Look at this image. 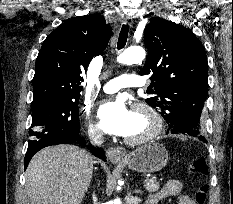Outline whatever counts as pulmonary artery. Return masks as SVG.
Here are the masks:
<instances>
[{"label": "pulmonary artery", "instance_id": "obj_1", "mask_svg": "<svg viewBox=\"0 0 233 204\" xmlns=\"http://www.w3.org/2000/svg\"><path fill=\"white\" fill-rule=\"evenodd\" d=\"M144 85V82L139 76L132 74H122L119 77H116L107 83H105L102 87V90L105 93H115L121 88L126 87H141Z\"/></svg>", "mask_w": 233, "mask_h": 204}]
</instances>
